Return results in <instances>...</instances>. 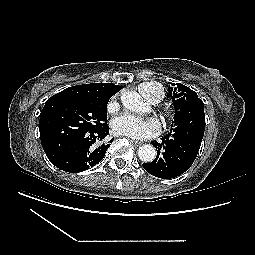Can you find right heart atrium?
<instances>
[{
	"instance_id": "d8ad5b80",
	"label": "right heart atrium",
	"mask_w": 255,
	"mask_h": 255,
	"mask_svg": "<svg viewBox=\"0 0 255 255\" xmlns=\"http://www.w3.org/2000/svg\"><path fill=\"white\" fill-rule=\"evenodd\" d=\"M118 105L117 103L114 101V100H111L109 103H108V110L109 111H115L117 109Z\"/></svg>"
}]
</instances>
